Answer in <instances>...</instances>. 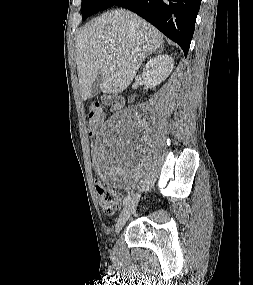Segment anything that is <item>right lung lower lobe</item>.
<instances>
[{
	"label": "right lung lower lobe",
	"instance_id": "obj_1",
	"mask_svg": "<svg viewBox=\"0 0 253 285\" xmlns=\"http://www.w3.org/2000/svg\"><path fill=\"white\" fill-rule=\"evenodd\" d=\"M201 0H119L114 5L128 8L178 43L187 56Z\"/></svg>",
	"mask_w": 253,
	"mask_h": 285
}]
</instances>
